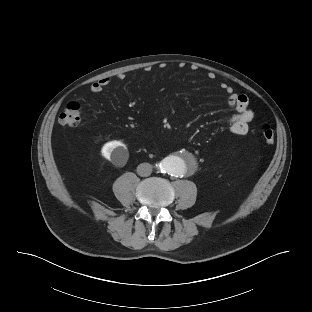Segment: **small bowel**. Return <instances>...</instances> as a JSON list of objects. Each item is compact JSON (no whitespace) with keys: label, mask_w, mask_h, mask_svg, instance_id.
I'll return each instance as SVG.
<instances>
[{"label":"small bowel","mask_w":312,"mask_h":312,"mask_svg":"<svg viewBox=\"0 0 312 312\" xmlns=\"http://www.w3.org/2000/svg\"><path fill=\"white\" fill-rule=\"evenodd\" d=\"M124 74H119L118 79H124ZM208 77L213 79L215 75L209 73ZM111 78L105 77L90 86V91L92 94H99L102 90L110 83ZM222 91L227 95L228 105L235 109L236 114H234L230 119V131L234 135L243 136L248 133L249 123L254 118V112L249 108V99L246 95L237 94L234 92L233 88L226 83L220 85Z\"/></svg>","instance_id":"1"}]
</instances>
